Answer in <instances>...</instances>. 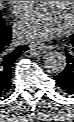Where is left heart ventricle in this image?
Masks as SVG:
<instances>
[{"label":"left heart ventricle","instance_id":"left-heart-ventricle-1","mask_svg":"<svg viewBox=\"0 0 74 122\" xmlns=\"http://www.w3.org/2000/svg\"><path fill=\"white\" fill-rule=\"evenodd\" d=\"M43 4L51 5L58 14L67 22L71 20L72 1H41Z\"/></svg>","mask_w":74,"mask_h":122}]
</instances>
